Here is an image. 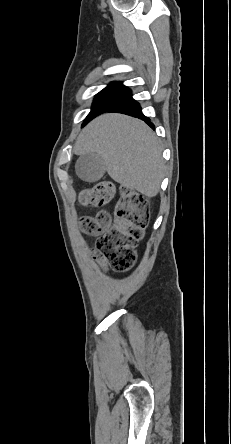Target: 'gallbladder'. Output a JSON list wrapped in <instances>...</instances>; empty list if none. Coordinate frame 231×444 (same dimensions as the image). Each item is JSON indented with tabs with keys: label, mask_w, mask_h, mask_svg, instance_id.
I'll return each instance as SVG.
<instances>
[{
	"label": "gallbladder",
	"mask_w": 231,
	"mask_h": 444,
	"mask_svg": "<svg viewBox=\"0 0 231 444\" xmlns=\"http://www.w3.org/2000/svg\"><path fill=\"white\" fill-rule=\"evenodd\" d=\"M75 168L80 179L87 182H95L103 177L106 165L100 155L87 153L79 157Z\"/></svg>",
	"instance_id": "obj_1"
}]
</instances>
